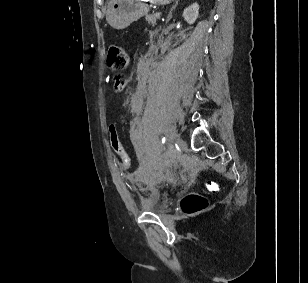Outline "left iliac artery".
I'll list each match as a JSON object with an SVG mask.
<instances>
[{"label": "left iliac artery", "mask_w": 308, "mask_h": 283, "mask_svg": "<svg viewBox=\"0 0 308 283\" xmlns=\"http://www.w3.org/2000/svg\"><path fill=\"white\" fill-rule=\"evenodd\" d=\"M167 136H168V134H167V132H165V135H164V137H163V139H162V143H165V142H166Z\"/></svg>", "instance_id": "1"}]
</instances>
